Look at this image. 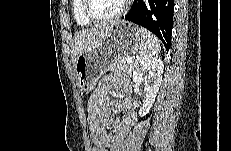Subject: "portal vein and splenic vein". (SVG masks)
<instances>
[{"label": "portal vein and splenic vein", "mask_w": 231, "mask_h": 151, "mask_svg": "<svg viewBox=\"0 0 231 151\" xmlns=\"http://www.w3.org/2000/svg\"><path fill=\"white\" fill-rule=\"evenodd\" d=\"M132 59H133L132 57L128 56V57H126L125 60H126L127 62H130V61H132Z\"/></svg>", "instance_id": "18ae733b"}]
</instances>
